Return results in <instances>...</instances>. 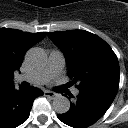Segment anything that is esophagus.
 Listing matches in <instances>:
<instances>
[{
    "label": "esophagus",
    "mask_w": 128,
    "mask_h": 128,
    "mask_svg": "<svg viewBox=\"0 0 128 128\" xmlns=\"http://www.w3.org/2000/svg\"><path fill=\"white\" fill-rule=\"evenodd\" d=\"M44 96L54 99L57 96V94L53 91L45 90Z\"/></svg>",
    "instance_id": "34e87169"
}]
</instances>
